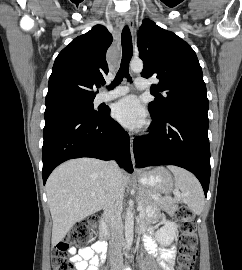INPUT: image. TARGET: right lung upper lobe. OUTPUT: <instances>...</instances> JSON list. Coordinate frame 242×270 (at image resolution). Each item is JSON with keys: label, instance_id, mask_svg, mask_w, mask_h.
<instances>
[{"label": "right lung upper lobe", "instance_id": "right-lung-upper-lobe-1", "mask_svg": "<svg viewBox=\"0 0 242 270\" xmlns=\"http://www.w3.org/2000/svg\"><path fill=\"white\" fill-rule=\"evenodd\" d=\"M111 43L107 28L96 25L67 45L55 59L45 105L94 99L96 88L105 84Z\"/></svg>", "mask_w": 242, "mask_h": 270}]
</instances>
